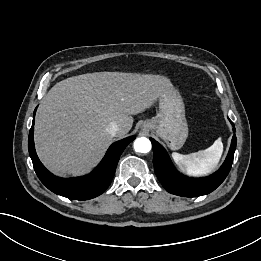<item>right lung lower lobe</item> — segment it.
Listing matches in <instances>:
<instances>
[{
	"label": "right lung lower lobe",
	"instance_id": "obj_1",
	"mask_svg": "<svg viewBox=\"0 0 261 261\" xmlns=\"http://www.w3.org/2000/svg\"><path fill=\"white\" fill-rule=\"evenodd\" d=\"M36 109L34 111L35 117ZM34 120L29 132L28 150L34 170L40 181L52 192L74 200H88L102 194L110 185L120 155L135 136L125 138L112 144L103 160L89 175L79 178L62 179L51 174L40 162L34 147Z\"/></svg>",
	"mask_w": 261,
	"mask_h": 261
}]
</instances>
